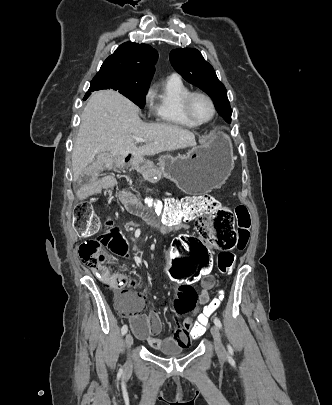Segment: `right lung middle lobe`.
Instances as JSON below:
<instances>
[{"instance_id":"obj_1","label":"right lung middle lobe","mask_w":332,"mask_h":405,"mask_svg":"<svg viewBox=\"0 0 332 405\" xmlns=\"http://www.w3.org/2000/svg\"><path fill=\"white\" fill-rule=\"evenodd\" d=\"M150 81H142L118 73H97L90 84L89 91L114 89L129 98L140 108L145 106V95Z\"/></svg>"}]
</instances>
